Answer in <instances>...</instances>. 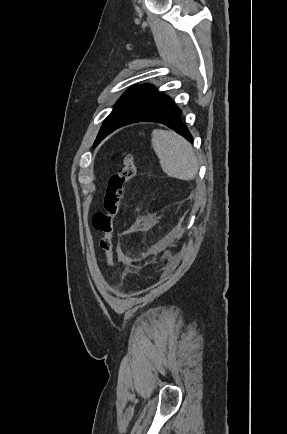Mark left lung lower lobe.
I'll use <instances>...</instances> for the list:
<instances>
[{
	"mask_svg": "<svg viewBox=\"0 0 287 434\" xmlns=\"http://www.w3.org/2000/svg\"><path fill=\"white\" fill-rule=\"evenodd\" d=\"M181 110L176 107L169 97L149 105L128 118L120 127L135 122H157L173 129L188 141L193 142L192 135L181 120ZM119 127V128H120Z\"/></svg>",
	"mask_w": 287,
	"mask_h": 434,
	"instance_id": "0a47b994",
	"label": "left lung lower lobe"
}]
</instances>
